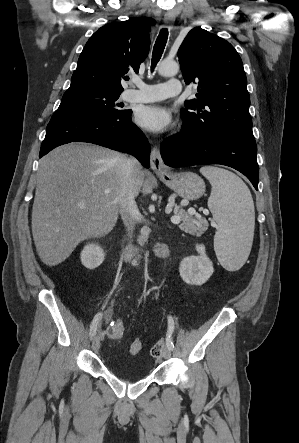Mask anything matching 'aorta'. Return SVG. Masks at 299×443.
Segmentation results:
<instances>
[{"instance_id":"1","label":"aorta","mask_w":299,"mask_h":443,"mask_svg":"<svg viewBox=\"0 0 299 443\" xmlns=\"http://www.w3.org/2000/svg\"><path fill=\"white\" fill-rule=\"evenodd\" d=\"M179 71V65L177 62L172 60H163L158 65V73L161 76L172 77L175 76Z\"/></svg>"}]
</instances>
